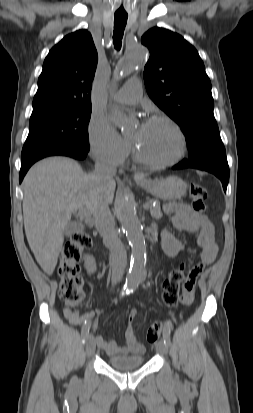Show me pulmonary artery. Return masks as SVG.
<instances>
[{
    "label": "pulmonary artery",
    "instance_id": "pulmonary-artery-1",
    "mask_svg": "<svg viewBox=\"0 0 253 413\" xmlns=\"http://www.w3.org/2000/svg\"><path fill=\"white\" fill-rule=\"evenodd\" d=\"M141 97V82L139 80H131L114 95V100L122 104L133 105L138 103Z\"/></svg>",
    "mask_w": 253,
    "mask_h": 413
}]
</instances>
